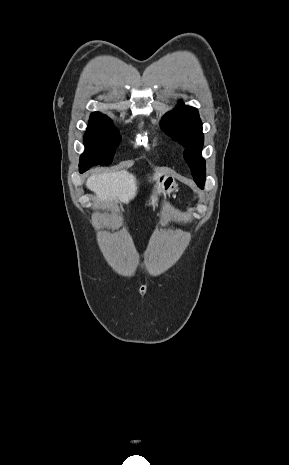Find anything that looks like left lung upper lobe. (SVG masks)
Wrapping results in <instances>:
<instances>
[{
	"label": "left lung upper lobe",
	"instance_id": "obj_1",
	"mask_svg": "<svg viewBox=\"0 0 289 465\" xmlns=\"http://www.w3.org/2000/svg\"><path fill=\"white\" fill-rule=\"evenodd\" d=\"M161 128L186 148L184 158L194 181L203 188L206 178L205 161L201 157L204 137L197 109L184 105L174 108L163 117Z\"/></svg>",
	"mask_w": 289,
	"mask_h": 465
}]
</instances>
